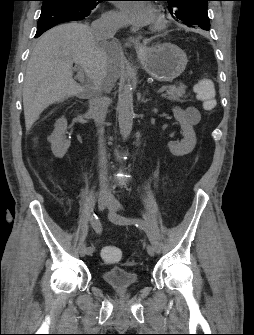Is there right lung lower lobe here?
Here are the masks:
<instances>
[{
	"instance_id": "right-lung-lower-lobe-1",
	"label": "right lung lower lobe",
	"mask_w": 254,
	"mask_h": 335,
	"mask_svg": "<svg viewBox=\"0 0 254 335\" xmlns=\"http://www.w3.org/2000/svg\"><path fill=\"white\" fill-rule=\"evenodd\" d=\"M92 9L80 7L70 2H49L42 5L35 38L43 32L63 22L82 20Z\"/></svg>"
}]
</instances>
